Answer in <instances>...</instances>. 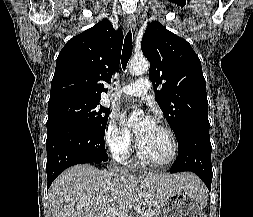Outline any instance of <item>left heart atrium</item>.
<instances>
[{
    "label": "left heart atrium",
    "mask_w": 253,
    "mask_h": 217,
    "mask_svg": "<svg viewBox=\"0 0 253 217\" xmlns=\"http://www.w3.org/2000/svg\"><path fill=\"white\" fill-rule=\"evenodd\" d=\"M122 119L125 123H128L127 114H125ZM154 126H156L154 118L151 115H146L144 120L135 128L138 139Z\"/></svg>",
    "instance_id": "left-heart-atrium-1"
}]
</instances>
